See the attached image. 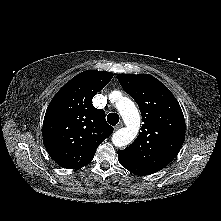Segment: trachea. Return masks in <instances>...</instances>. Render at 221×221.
<instances>
[{
  "mask_svg": "<svg viewBox=\"0 0 221 221\" xmlns=\"http://www.w3.org/2000/svg\"><path fill=\"white\" fill-rule=\"evenodd\" d=\"M107 121L110 125L115 126L119 122V116L116 113H109L107 115Z\"/></svg>",
  "mask_w": 221,
  "mask_h": 221,
  "instance_id": "3493384b",
  "label": "trachea"
}]
</instances>
